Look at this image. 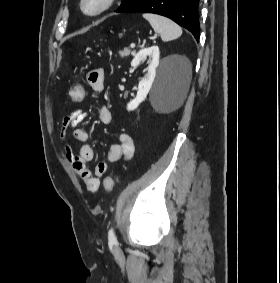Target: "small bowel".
<instances>
[{
	"mask_svg": "<svg viewBox=\"0 0 280 283\" xmlns=\"http://www.w3.org/2000/svg\"><path fill=\"white\" fill-rule=\"evenodd\" d=\"M88 85L96 92H100L104 88V71L97 69L88 74ZM87 114L82 110H75L71 114L65 116L62 120L61 137L65 138L66 130L73 129L74 138L82 143L80 151L75 154L71 145H65V159L73 168L76 174L85 184L86 189L95 193L100 187V178L103 177L109 168V164L120 159L129 160L133 157L135 146L132 137L127 133L119 135V141L111 145L107 152L105 160L99 161L91 171L88 162L94 158L93 147L88 144L89 133L81 127V123L86 119ZM99 120L103 124H109L112 120L110 110L103 106L99 112Z\"/></svg>",
	"mask_w": 280,
	"mask_h": 283,
	"instance_id": "c3829d8e",
	"label": "small bowel"
}]
</instances>
